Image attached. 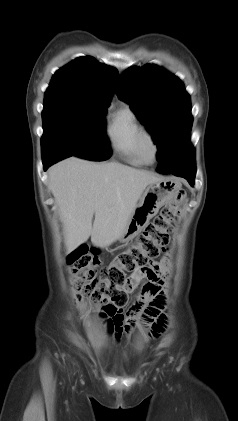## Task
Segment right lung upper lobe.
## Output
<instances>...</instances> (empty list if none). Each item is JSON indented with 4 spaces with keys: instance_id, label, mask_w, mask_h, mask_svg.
Returning a JSON list of instances; mask_svg holds the SVG:
<instances>
[{
    "instance_id": "obj_1",
    "label": "right lung upper lobe",
    "mask_w": 238,
    "mask_h": 421,
    "mask_svg": "<svg viewBox=\"0 0 238 421\" xmlns=\"http://www.w3.org/2000/svg\"><path fill=\"white\" fill-rule=\"evenodd\" d=\"M119 78L117 70L91 56L79 57L52 77L46 93L82 96L110 102Z\"/></svg>"
}]
</instances>
